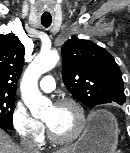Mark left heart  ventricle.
I'll return each instance as SVG.
<instances>
[{
	"label": "left heart ventricle",
	"mask_w": 130,
	"mask_h": 153,
	"mask_svg": "<svg viewBox=\"0 0 130 153\" xmlns=\"http://www.w3.org/2000/svg\"><path fill=\"white\" fill-rule=\"evenodd\" d=\"M43 120L61 137L72 135L79 121L76 110L69 105L50 106Z\"/></svg>",
	"instance_id": "b2bd125f"
}]
</instances>
